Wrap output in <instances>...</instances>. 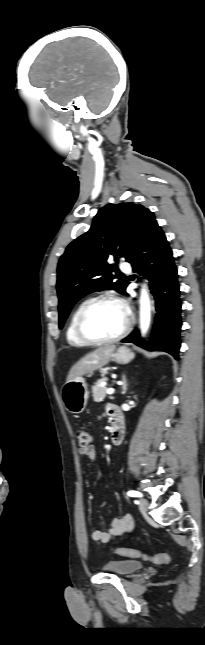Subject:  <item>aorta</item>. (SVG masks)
<instances>
[{
	"label": "aorta",
	"mask_w": 205,
	"mask_h": 645,
	"mask_svg": "<svg viewBox=\"0 0 205 645\" xmlns=\"http://www.w3.org/2000/svg\"><path fill=\"white\" fill-rule=\"evenodd\" d=\"M150 317V299L147 290L145 289V287H142L140 297V327L142 334H145L149 328Z\"/></svg>",
	"instance_id": "762f6f07"
}]
</instances>
